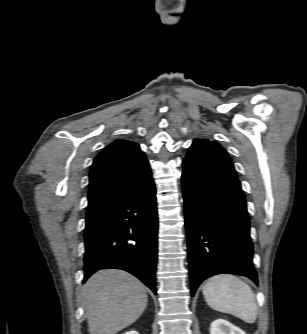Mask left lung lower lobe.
<instances>
[{
  "mask_svg": "<svg viewBox=\"0 0 307 334\" xmlns=\"http://www.w3.org/2000/svg\"><path fill=\"white\" fill-rule=\"evenodd\" d=\"M191 293L229 273L258 283L246 200L238 179L186 167L182 172Z\"/></svg>",
  "mask_w": 307,
  "mask_h": 334,
  "instance_id": "left-lung-lower-lobe-1",
  "label": "left lung lower lobe"
}]
</instances>
